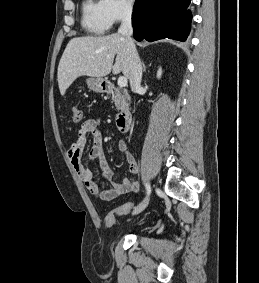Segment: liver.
Returning a JSON list of instances; mask_svg holds the SVG:
<instances>
[{"mask_svg": "<svg viewBox=\"0 0 259 283\" xmlns=\"http://www.w3.org/2000/svg\"><path fill=\"white\" fill-rule=\"evenodd\" d=\"M116 61L113 65L114 57ZM130 77V60L125 38L119 33L107 36L76 37L69 41L58 65L61 95L80 76L102 78L110 72Z\"/></svg>", "mask_w": 259, "mask_h": 283, "instance_id": "6515ba94", "label": "liver"}]
</instances>
